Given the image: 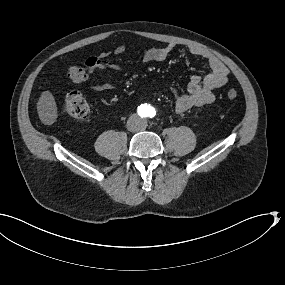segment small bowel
<instances>
[{"instance_id": "obj_1", "label": "small bowel", "mask_w": 285, "mask_h": 285, "mask_svg": "<svg viewBox=\"0 0 285 285\" xmlns=\"http://www.w3.org/2000/svg\"><path fill=\"white\" fill-rule=\"evenodd\" d=\"M174 49L175 46L172 44L163 47H153L143 50L141 58L144 62H161L166 60ZM126 50V45L120 44L114 49L113 53L121 55ZM187 51L189 54L205 60L209 72L204 77L192 75L189 78L186 92L174 93L175 109L178 113L213 103L215 100L214 90L221 88L228 81L227 67L212 53L198 46H189ZM109 55V52H103L98 56L89 57L85 63L87 70L107 69L115 72L120 71L119 65L108 60ZM92 88L98 91H109L115 89V84L111 81L94 82Z\"/></svg>"}]
</instances>
